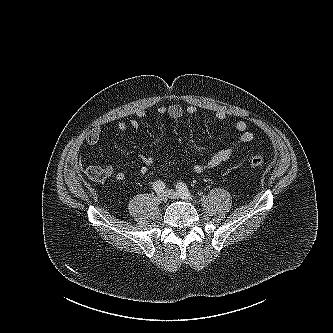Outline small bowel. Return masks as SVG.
<instances>
[{
  "mask_svg": "<svg viewBox=\"0 0 333 333\" xmlns=\"http://www.w3.org/2000/svg\"><path fill=\"white\" fill-rule=\"evenodd\" d=\"M196 112L197 108L194 105L183 107L178 103H172L169 105H159L157 107V113L159 115L169 116L175 120L182 118L185 114L194 115ZM138 116L143 117L144 112L140 111ZM214 117L219 121H223L226 115L222 111H217L215 112ZM138 127L139 122L137 120H130L128 123L121 120L116 123L117 130L122 133L126 132L129 128L137 129ZM235 129L239 133L238 139L232 145L214 151L206 162L195 164L193 166V171L195 173L200 174L220 166L232 157L235 148L239 144H247L253 141L254 134L249 130L248 125L244 120H238L235 123ZM101 137V129L99 127H95L86 135V142L89 145H96L100 142ZM140 159L142 164L139 167V173L141 175H145L148 173L149 167L153 164L154 158L150 155H141ZM73 164L75 169L83 171L89 179L96 182H103L111 177H114L118 181H123L126 178V173L124 171H115L112 166H89L84 168L78 158Z\"/></svg>",
  "mask_w": 333,
  "mask_h": 333,
  "instance_id": "small-bowel-1",
  "label": "small bowel"
}]
</instances>
